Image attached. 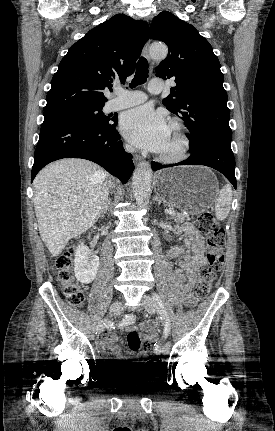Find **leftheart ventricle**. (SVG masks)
Instances as JSON below:
<instances>
[{
    "mask_svg": "<svg viewBox=\"0 0 275 431\" xmlns=\"http://www.w3.org/2000/svg\"><path fill=\"white\" fill-rule=\"evenodd\" d=\"M178 146L179 140L177 131L173 127L169 126L166 141L160 152L164 154H172L178 149Z\"/></svg>",
    "mask_w": 275,
    "mask_h": 431,
    "instance_id": "1",
    "label": "left heart ventricle"
}]
</instances>
